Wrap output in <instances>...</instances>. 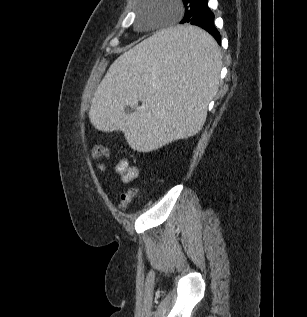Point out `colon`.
I'll return each mask as SVG.
<instances>
[{
    "instance_id": "1",
    "label": "colon",
    "mask_w": 307,
    "mask_h": 317,
    "mask_svg": "<svg viewBox=\"0 0 307 317\" xmlns=\"http://www.w3.org/2000/svg\"><path fill=\"white\" fill-rule=\"evenodd\" d=\"M92 156L98 163L99 168L103 169V161L109 156V150L103 146H95L92 150ZM138 193L139 188L137 187L130 188L126 192L122 193L120 197L119 208L121 210H125Z\"/></svg>"
}]
</instances>
